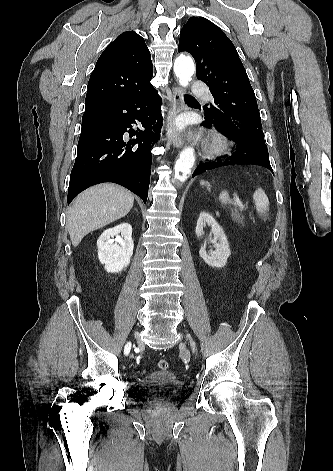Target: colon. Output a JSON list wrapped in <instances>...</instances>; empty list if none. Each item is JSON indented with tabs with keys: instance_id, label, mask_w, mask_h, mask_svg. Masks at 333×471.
<instances>
[{
	"instance_id": "colon-1",
	"label": "colon",
	"mask_w": 333,
	"mask_h": 471,
	"mask_svg": "<svg viewBox=\"0 0 333 471\" xmlns=\"http://www.w3.org/2000/svg\"><path fill=\"white\" fill-rule=\"evenodd\" d=\"M157 365H158V368L160 370H163V371H166L169 368V364H168L167 360H165V359H160L158 361Z\"/></svg>"
}]
</instances>
